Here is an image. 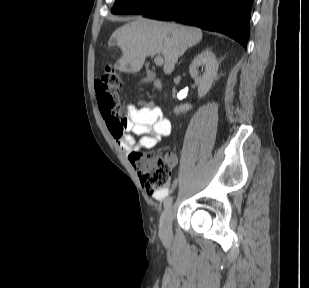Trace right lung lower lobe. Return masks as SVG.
<instances>
[{
	"instance_id": "1",
	"label": "right lung lower lobe",
	"mask_w": 309,
	"mask_h": 288,
	"mask_svg": "<svg viewBox=\"0 0 309 288\" xmlns=\"http://www.w3.org/2000/svg\"><path fill=\"white\" fill-rule=\"evenodd\" d=\"M252 5L253 0H165L142 15L220 32L246 49Z\"/></svg>"
}]
</instances>
